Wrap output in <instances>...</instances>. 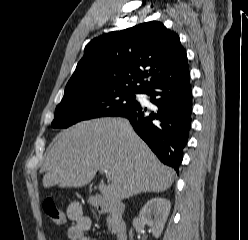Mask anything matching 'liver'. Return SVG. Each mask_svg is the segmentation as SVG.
<instances>
[{
    "label": "liver",
    "instance_id": "6515ba94",
    "mask_svg": "<svg viewBox=\"0 0 248 240\" xmlns=\"http://www.w3.org/2000/svg\"><path fill=\"white\" fill-rule=\"evenodd\" d=\"M104 170L111 183L101 182L98 188L110 203L141 192H163L175 176L127 119L101 118L77 123L55 137L42 169L43 186L82 187Z\"/></svg>",
    "mask_w": 248,
    "mask_h": 240
}]
</instances>
